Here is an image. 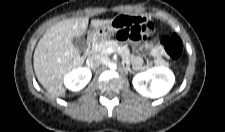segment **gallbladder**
Masks as SVG:
<instances>
[{"label":"gallbladder","mask_w":225,"mask_h":132,"mask_svg":"<svg viewBox=\"0 0 225 132\" xmlns=\"http://www.w3.org/2000/svg\"><path fill=\"white\" fill-rule=\"evenodd\" d=\"M74 47L80 52L84 53L87 49V42L84 37H74L72 40Z\"/></svg>","instance_id":"obj_1"}]
</instances>
